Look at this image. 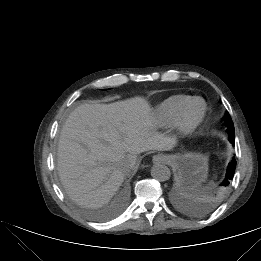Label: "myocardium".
<instances>
[{
  "label": "myocardium",
  "instance_id": "obj_1",
  "mask_svg": "<svg viewBox=\"0 0 261 261\" xmlns=\"http://www.w3.org/2000/svg\"><path fill=\"white\" fill-rule=\"evenodd\" d=\"M201 104V109L196 115L191 111L196 104ZM207 114V104L201 98H193L181 111L176 120V128L180 135H191L203 122Z\"/></svg>",
  "mask_w": 261,
  "mask_h": 261
}]
</instances>
